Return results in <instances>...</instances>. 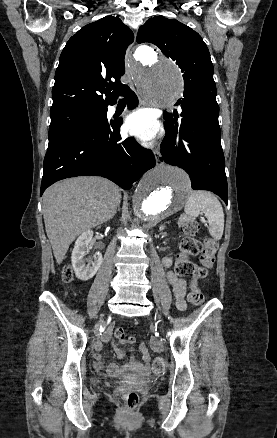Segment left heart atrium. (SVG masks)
Listing matches in <instances>:
<instances>
[{"instance_id": "39dd6f15", "label": "left heart atrium", "mask_w": 277, "mask_h": 438, "mask_svg": "<svg viewBox=\"0 0 277 438\" xmlns=\"http://www.w3.org/2000/svg\"><path fill=\"white\" fill-rule=\"evenodd\" d=\"M125 127L142 140L152 138L158 131V125L153 113L148 109H140L130 114Z\"/></svg>"}]
</instances>
